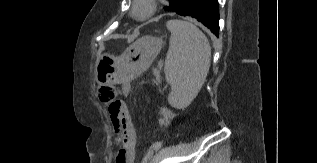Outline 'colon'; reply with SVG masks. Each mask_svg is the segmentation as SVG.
<instances>
[{"mask_svg": "<svg viewBox=\"0 0 317 163\" xmlns=\"http://www.w3.org/2000/svg\"><path fill=\"white\" fill-rule=\"evenodd\" d=\"M99 100L103 103H109V113L115 119L119 126L120 121L125 116L124 104L120 101H115L116 91L112 86H103L98 90Z\"/></svg>", "mask_w": 317, "mask_h": 163, "instance_id": "1", "label": "colon"}]
</instances>
